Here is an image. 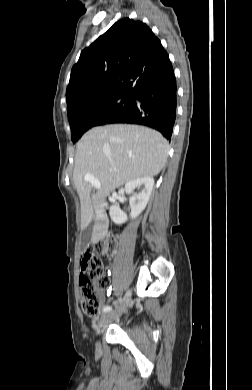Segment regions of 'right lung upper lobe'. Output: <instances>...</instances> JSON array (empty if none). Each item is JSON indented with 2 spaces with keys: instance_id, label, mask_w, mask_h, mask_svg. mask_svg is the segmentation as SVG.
Instances as JSON below:
<instances>
[{
  "instance_id": "1",
  "label": "right lung upper lobe",
  "mask_w": 252,
  "mask_h": 390,
  "mask_svg": "<svg viewBox=\"0 0 252 390\" xmlns=\"http://www.w3.org/2000/svg\"><path fill=\"white\" fill-rule=\"evenodd\" d=\"M173 72L166 50L145 23L119 20L81 52L66 91L67 111L112 95H134Z\"/></svg>"
}]
</instances>
